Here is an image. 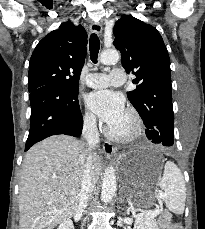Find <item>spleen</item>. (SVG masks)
Returning <instances> with one entry per match:
<instances>
[{
  "instance_id": "1",
  "label": "spleen",
  "mask_w": 205,
  "mask_h": 229,
  "mask_svg": "<svg viewBox=\"0 0 205 229\" xmlns=\"http://www.w3.org/2000/svg\"><path fill=\"white\" fill-rule=\"evenodd\" d=\"M163 190V200L167 208L175 214H183L186 200V187L181 170L171 161L164 166L163 176L159 178Z\"/></svg>"
}]
</instances>
